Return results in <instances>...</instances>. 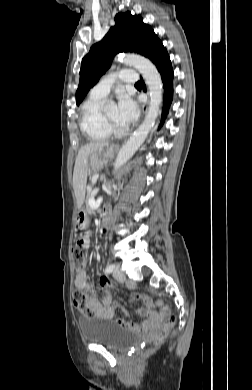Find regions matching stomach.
<instances>
[{
    "label": "stomach",
    "instance_id": "1",
    "mask_svg": "<svg viewBox=\"0 0 252 390\" xmlns=\"http://www.w3.org/2000/svg\"><path fill=\"white\" fill-rule=\"evenodd\" d=\"M114 155V147L107 146L105 149L101 151H96L90 155L89 158V171L95 172L101 169L104 163L111 159ZM89 224V217L87 213V209H81L78 211L75 219V228L76 230H83Z\"/></svg>",
    "mask_w": 252,
    "mask_h": 390
}]
</instances>
